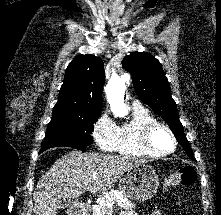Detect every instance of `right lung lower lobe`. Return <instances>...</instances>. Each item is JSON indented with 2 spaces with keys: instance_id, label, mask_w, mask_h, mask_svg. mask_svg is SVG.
Instances as JSON below:
<instances>
[{
  "instance_id": "right-lung-lower-lobe-1",
  "label": "right lung lower lobe",
  "mask_w": 221,
  "mask_h": 215,
  "mask_svg": "<svg viewBox=\"0 0 221 215\" xmlns=\"http://www.w3.org/2000/svg\"><path fill=\"white\" fill-rule=\"evenodd\" d=\"M75 148L76 149H79V150H81V151H85L86 150V146L85 145H77V146H75ZM47 148H43L41 151H40V153H42L43 151H45Z\"/></svg>"
}]
</instances>
